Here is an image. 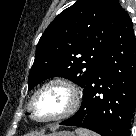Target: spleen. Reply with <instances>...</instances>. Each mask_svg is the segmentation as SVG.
I'll use <instances>...</instances> for the list:
<instances>
[{
  "instance_id": "obj_1",
  "label": "spleen",
  "mask_w": 136,
  "mask_h": 136,
  "mask_svg": "<svg viewBox=\"0 0 136 136\" xmlns=\"http://www.w3.org/2000/svg\"><path fill=\"white\" fill-rule=\"evenodd\" d=\"M76 133L78 134V136H97L93 134L92 132L85 129H77Z\"/></svg>"
}]
</instances>
